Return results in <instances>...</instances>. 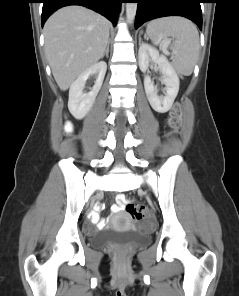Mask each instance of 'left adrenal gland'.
Listing matches in <instances>:
<instances>
[{
  "mask_svg": "<svg viewBox=\"0 0 239 296\" xmlns=\"http://www.w3.org/2000/svg\"><path fill=\"white\" fill-rule=\"evenodd\" d=\"M139 45H141V34L139 35Z\"/></svg>",
  "mask_w": 239,
  "mask_h": 296,
  "instance_id": "left-adrenal-gland-1",
  "label": "left adrenal gland"
}]
</instances>
